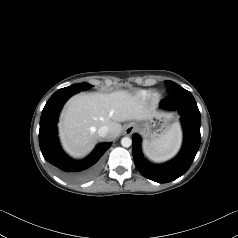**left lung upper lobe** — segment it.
<instances>
[{
	"instance_id": "5c2ea615",
	"label": "left lung upper lobe",
	"mask_w": 238,
	"mask_h": 238,
	"mask_svg": "<svg viewBox=\"0 0 238 238\" xmlns=\"http://www.w3.org/2000/svg\"><path fill=\"white\" fill-rule=\"evenodd\" d=\"M164 82H165V85H166V90L169 94L174 93V92H176V91H178L179 89L182 88L173 81L165 80Z\"/></svg>"
}]
</instances>
